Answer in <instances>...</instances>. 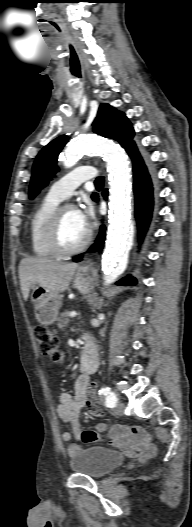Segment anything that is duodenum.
I'll return each mask as SVG.
<instances>
[{"instance_id": "duodenum-1", "label": "duodenum", "mask_w": 192, "mask_h": 527, "mask_svg": "<svg viewBox=\"0 0 192 527\" xmlns=\"http://www.w3.org/2000/svg\"><path fill=\"white\" fill-rule=\"evenodd\" d=\"M97 367V356L93 345L88 341L82 352L80 369L84 374H90L95 371Z\"/></svg>"}]
</instances>
